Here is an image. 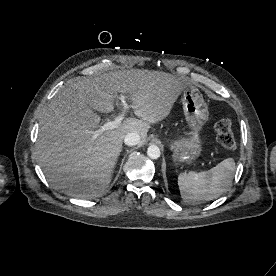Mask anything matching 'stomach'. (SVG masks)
I'll list each match as a JSON object with an SVG mask.
<instances>
[{
    "mask_svg": "<svg viewBox=\"0 0 276 276\" xmlns=\"http://www.w3.org/2000/svg\"><path fill=\"white\" fill-rule=\"evenodd\" d=\"M181 102L190 131L186 137L170 143L175 161L192 163L202 154L200 132L209 119L208 106L196 87H188L182 93Z\"/></svg>",
    "mask_w": 276,
    "mask_h": 276,
    "instance_id": "0dacf381",
    "label": "stomach"
}]
</instances>
